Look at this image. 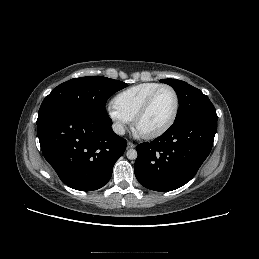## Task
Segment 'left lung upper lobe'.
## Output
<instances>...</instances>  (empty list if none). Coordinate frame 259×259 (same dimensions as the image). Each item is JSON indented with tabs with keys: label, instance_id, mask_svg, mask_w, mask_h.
I'll return each instance as SVG.
<instances>
[{
	"label": "left lung upper lobe",
	"instance_id": "left-lung-upper-lobe-1",
	"mask_svg": "<svg viewBox=\"0 0 259 259\" xmlns=\"http://www.w3.org/2000/svg\"><path fill=\"white\" fill-rule=\"evenodd\" d=\"M161 82L172 86L178 94L179 109L175 121L192 115L217 117L215 107L199 89L177 79H162Z\"/></svg>",
	"mask_w": 259,
	"mask_h": 259
}]
</instances>
